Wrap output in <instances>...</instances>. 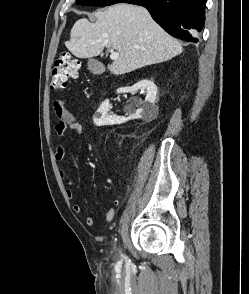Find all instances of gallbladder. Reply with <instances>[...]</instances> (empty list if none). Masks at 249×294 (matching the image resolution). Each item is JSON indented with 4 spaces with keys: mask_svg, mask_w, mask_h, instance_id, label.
Segmentation results:
<instances>
[{
    "mask_svg": "<svg viewBox=\"0 0 249 294\" xmlns=\"http://www.w3.org/2000/svg\"><path fill=\"white\" fill-rule=\"evenodd\" d=\"M87 66L90 72L96 75L102 74L105 70L103 64L94 58L88 59Z\"/></svg>",
    "mask_w": 249,
    "mask_h": 294,
    "instance_id": "obj_1",
    "label": "gallbladder"
}]
</instances>
